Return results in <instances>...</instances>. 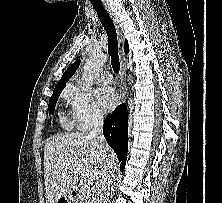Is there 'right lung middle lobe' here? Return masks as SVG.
I'll use <instances>...</instances> for the list:
<instances>
[{
  "instance_id": "dd1d6c3e",
  "label": "right lung middle lobe",
  "mask_w": 222,
  "mask_h": 203,
  "mask_svg": "<svg viewBox=\"0 0 222 203\" xmlns=\"http://www.w3.org/2000/svg\"><path fill=\"white\" fill-rule=\"evenodd\" d=\"M60 93H61V91L53 92V95L51 96V98L49 100V107H48L49 114H54L55 105H56V102H57V99H58Z\"/></svg>"
}]
</instances>
